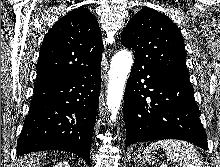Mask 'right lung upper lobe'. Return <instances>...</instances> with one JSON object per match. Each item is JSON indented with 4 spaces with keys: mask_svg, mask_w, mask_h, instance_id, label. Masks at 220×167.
<instances>
[{
    "mask_svg": "<svg viewBox=\"0 0 220 167\" xmlns=\"http://www.w3.org/2000/svg\"><path fill=\"white\" fill-rule=\"evenodd\" d=\"M102 34L87 8H78L58 20L46 34L37 62L35 87L56 83L101 64Z\"/></svg>",
    "mask_w": 220,
    "mask_h": 167,
    "instance_id": "right-lung-upper-lobe-1",
    "label": "right lung upper lobe"
}]
</instances>
